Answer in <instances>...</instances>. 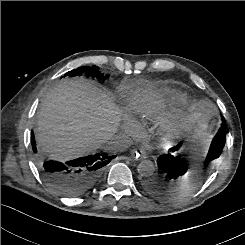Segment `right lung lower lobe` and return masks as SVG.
Wrapping results in <instances>:
<instances>
[{"mask_svg":"<svg viewBox=\"0 0 245 245\" xmlns=\"http://www.w3.org/2000/svg\"><path fill=\"white\" fill-rule=\"evenodd\" d=\"M31 134L40 173L53 190L66 197H78L89 191L96 184L103 167L115 158L98 153L67 162L46 160L38 153L33 131Z\"/></svg>","mask_w":245,"mask_h":245,"instance_id":"1","label":"right lung lower lobe"}]
</instances>
